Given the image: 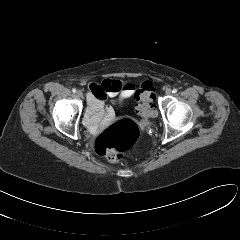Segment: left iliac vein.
<instances>
[{"mask_svg": "<svg viewBox=\"0 0 240 240\" xmlns=\"http://www.w3.org/2000/svg\"><path fill=\"white\" fill-rule=\"evenodd\" d=\"M172 93V90L170 88L166 89L165 90V94L166 95H170Z\"/></svg>", "mask_w": 240, "mask_h": 240, "instance_id": "left-iliac-vein-1", "label": "left iliac vein"}]
</instances>
